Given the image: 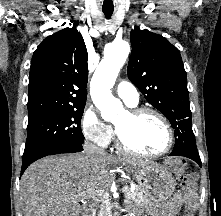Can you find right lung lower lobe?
I'll return each mask as SVG.
<instances>
[{"label": "right lung lower lobe", "mask_w": 221, "mask_h": 216, "mask_svg": "<svg viewBox=\"0 0 221 216\" xmlns=\"http://www.w3.org/2000/svg\"><path fill=\"white\" fill-rule=\"evenodd\" d=\"M83 150L82 144H67L58 146L55 148H51L46 150L45 152H42L38 154L36 157L25 160L22 162V168H21V174L26 170V168L34 161L48 156V155H54V154H61V153H74V152H80Z\"/></svg>", "instance_id": "1"}]
</instances>
